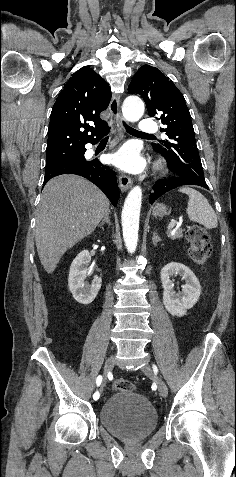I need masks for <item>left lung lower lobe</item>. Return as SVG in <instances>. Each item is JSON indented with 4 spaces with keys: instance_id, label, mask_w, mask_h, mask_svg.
Masks as SVG:
<instances>
[{
    "instance_id": "0a47b994",
    "label": "left lung lower lobe",
    "mask_w": 236,
    "mask_h": 477,
    "mask_svg": "<svg viewBox=\"0 0 236 477\" xmlns=\"http://www.w3.org/2000/svg\"><path fill=\"white\" fill-rule=\"evenodd\" d=\"M169 170L176 174L168 179H160L153 185V191L150 194L149 200L152 204L156 199L165 194L166 192L183 185H197L203 188L209 189L205 181H200L197 179L189 178L183 175L178 174L173 168L168 167Z\"/></svg>"
}]
</instances>
